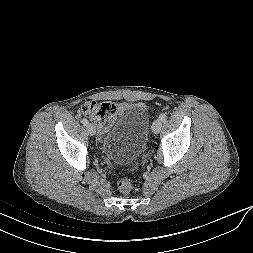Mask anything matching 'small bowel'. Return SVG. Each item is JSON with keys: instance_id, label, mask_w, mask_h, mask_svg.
Instances as JSON below:
<instances>
[{"instance_id": "1", "label": "small bowel", "mask_w": 253, "mask_h": 253, "mask_svg": "<svg viewBox=\"0 0 253 253\" xmlns=\"http://www.w3.org/2000/svg\"><path fill=\"white\" fill-rule=\"evenodd\" d=\"M128 106L129 105L127 103H121V104H119V106L117 108L121 109V108H126ZM137 107H139V108H145V106L142 103L137 104Z\"/></svg>"}]
</instances>
